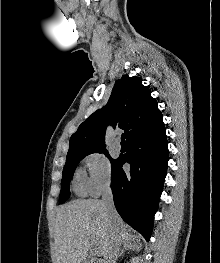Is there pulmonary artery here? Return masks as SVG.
Wrapping results in <instances>:
<instances>
[{"instance_id": "1", "label": "pulmonary artery", "mask_w": 220, "mask_h": 263, "mask_svg": "<svg viewBox=\"0 0 220 263\" xmlns=\"http://www.w3.org/2000/svg\"><path fill=\"white\" fill-rule=\"evenodd\" d=\"M115 148L118 150L121 149V143H120L119 139H116Z\"/></svg>"}]
</instances>
